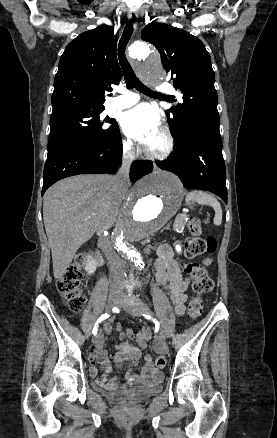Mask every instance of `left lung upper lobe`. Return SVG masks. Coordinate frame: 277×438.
I'll list each match as a JSON object with an SVG mask.
<instances>
[{
	"instance_id": "1",
	"label": "left lung upper lobe",
	"mask_w": 277,
	"mask_h": 438,
	"mask_svg": "<svg viewBox=\"0 0 277 438\" xmlns=\"http://www.w3.org/2000/svg\"><path fill=\"white\" fill-rule=\"evenodd\" d=\"M141 38L152 43L174 86L181 90L183 103L166 111L177 143L182 142L195 118L207 110L217 111L218 97L210 55L200 39L176 27L153 21Z\"/></svg>"
}]
</instances>
